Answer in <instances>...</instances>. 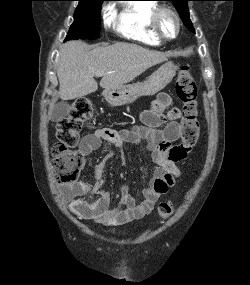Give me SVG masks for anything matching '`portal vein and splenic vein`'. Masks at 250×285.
<instances>
[{
	"label": "portal vein and splenic vein",
	"mask_w": 250,
	"mask_h": 285,
	"mask_svg": "<svg viewBox=\"0 0 250 285\" xmlns=\"http://www.w3.org/2000/svg\"><path fill=\"white\" fill-rule=\"evenodd\" d=\"M96 75H97V76H102V75H103V73H97Z\"/></svg>",
	"instance_id": "portal-vein-and-splenic-vein-1"
}]
</instances>
